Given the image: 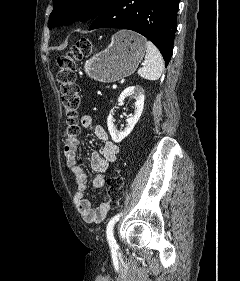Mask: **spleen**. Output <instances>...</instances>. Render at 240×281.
Instances as JSON below:
<instances>
[{"instance_id":"obj_1","label":"spleen","mask_w":240,"mask_h":281,"mask_svg":"<svg viewBox=\"0 0 240 281\" xmlns=\"http://www.w3.org/2000/svg\"><path fill=\"white\" fill-rule=\"evenodd\" d=\"M146 56L143 67L138 69V75L147 80H158L164 68V61L157 47L150 41L145 42Z\"/></svg>"}]
</instances>
